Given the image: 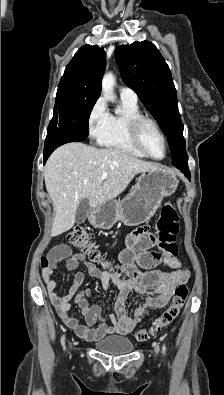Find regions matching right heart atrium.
<instances>
[{"label":"right heart atrium","mask_w":224,"mask_h":395,"mask_svg":"<svg viewBox=\"0 0 224 395\" xmlns=\"http://www.w3.org/2000/svg\"><path fill=\"white\" fill-rule=\"evenodd\" d=\"M109 118V112L103 98H98L91 106L88 117L87 127L89 135L93 139H99L105 131Z\"/></svg>","instance_id":"d8ad5b80"}]
</instances>
